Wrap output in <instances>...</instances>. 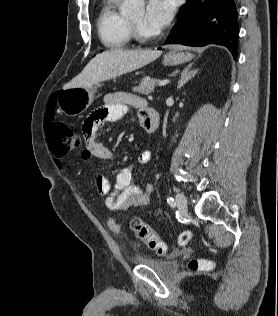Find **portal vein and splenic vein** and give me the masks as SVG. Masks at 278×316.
<instances>
[{
    "label": "portal vein and splenic vein",
    "instance_id": "portal-vein-and-splenic-vein-1",
    "mask_svg": "<svg viewBox=\"0 0 278 316\" xmlns=\"http://www.w3.org/2000/svg\"><path fill=\"white\" fill-rule=\"evenodd\" d=\"M169 83V80H163V81H160L159 82V86H165V85H167Z\"/></svg>",
    "mask_w": 278,
    "mask_h": 316
}]
</instances>
